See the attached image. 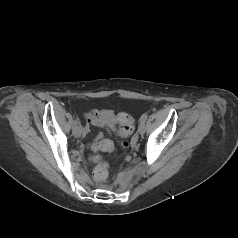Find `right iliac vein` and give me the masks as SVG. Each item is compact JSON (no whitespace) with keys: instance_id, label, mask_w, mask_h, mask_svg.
<instances>
[{"instance_id":"63e3f726","label":"right iliac vein","mask_w":238,"mask_h":238,"mask_svg":"<svg viewBox=\"0 0 238 238\" xmlns=\"http://www.w3.org/2000/svg\"><path fill=\"white\" fill-rule=\"evenodd\" d=\"M72 133L74 137L79 138L81 136L82 129L79 126H76L73 128Z\"/></svg>"}]
</instances>
